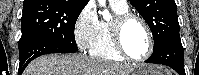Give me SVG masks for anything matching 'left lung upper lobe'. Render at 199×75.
Segmentation results:
<instances>
[{
    "label": "left lung upper lobe",
    "instance_id": "1",
    "mask_svg": "<svg viewBox=\"0 0 199 75\" xmlns=\"http://www.w3.org/2000/svg\"><path fill=\"white\" fill-rule=\"evenodd\" d=\"M151 29L153 52L179 35L177 6L174 0H129Z\"/></svg>",
    "mask_w": 199,
    "mask_h": 75
}]
</instances>
